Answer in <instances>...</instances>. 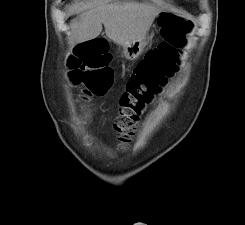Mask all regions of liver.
Segmentation results:
<instances>
[{
	"label": "liver",
	"instance_id": "1",
	"mask_svg": "<svg viewBox=\"0 0 245 225\" xmlns=\"http://www.w3.org/2000/svg\"><path fill=\"white\" fill-rule=\"evenodd\" d=\"M160 9L135 1L84 5L71 31L73 45L100 35L102 24L107 37L120 46L142 39L150 29Z\"/></svg>",
	"mask_w": 245,
	"mask_h": 225
}]
</instances>
